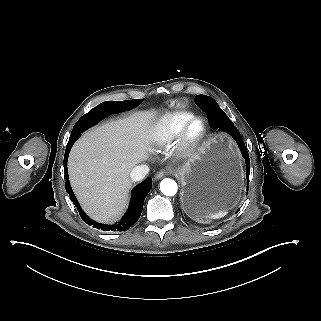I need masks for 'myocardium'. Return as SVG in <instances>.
<instances>
[{
  "instance_id": "1",
  "label": "myocardium",
  "mask_w": 321,
  "mask_h": 321,
  "mask_svg": "<svg viewBox=\"0 0 321 321\" xmlns=\"http://www.w3.org/2000/svg\"><path fill=\"white\" fill-rule=\"evenodd\" d=\"M196 123L199 124V132L194 137H190L188 132ZM206 134L207 128L202 118L197 116L189 118L180 126L173 137L172 148L174 155L180 159L193 156L203 144Z\"/></svg>"
}]
</instances>
